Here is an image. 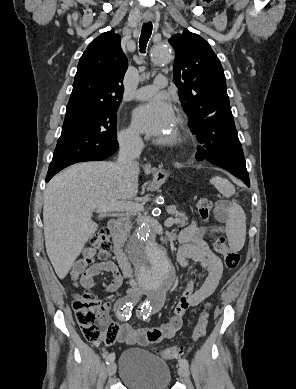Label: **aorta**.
<instances>
[{"label": "aorta", "instance_id": "obj_1", "mask_svg": "<svg viewBox=\"0 0 296 389\" xmlns=\"http://www.w3.org/2000/svg\"><path fill=\"white\" fill-rule=\"evenodd\" d=\"M151 59L157 65L166 64L173 61L174 52L167 44H156L151 49ZM128 253L136 266L139 285L150 296L172 286L174 267L148 223L142 224L134 233Z\"/></svg>", "mask_w": 296, "mask_h": 389}]
</instances>
